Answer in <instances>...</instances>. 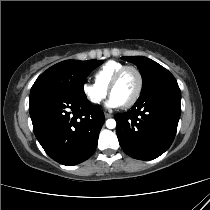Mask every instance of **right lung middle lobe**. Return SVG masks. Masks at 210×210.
I'll use <instances>...</instances> for the list:
<instances>
[{"instance_id":"dd1d6c3e","label":"right lung middle lobe","mask_w":210,"mask_h":210,"mask_svg":"<svg viewBox=\"0 0 210 210\" xmlns=\"http://www.w3.org/2000/svg\"><path fill=\"white\" fill-rule=\"evenodd\" d=\"M103 62L99 60H66L42 73L33 84L30 97L48 92H60L86 98L83 85L86 77Z\"/></svg>"}]
</instances>
